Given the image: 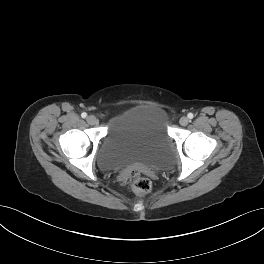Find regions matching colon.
Returning <instances> with one entry per match:
<instances>
[{
	"label": "colon",
	"mask_w": 264,
	"mask_h": 264,
	"mask_svg": "<svg viewBox=\"0 0 264 264\" xmlns=\"http://www.w3.org/2000/svg\"><path fill=\"white\" fill-rule=\"evenodd\" d=\"M129 182L132 189L138 193L146 194L151 190L150 180L135 171L129 176Z\"/></svg>",
	"instance_id": "colon-1"
}]
</instances>
